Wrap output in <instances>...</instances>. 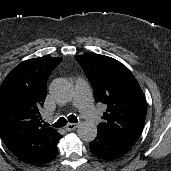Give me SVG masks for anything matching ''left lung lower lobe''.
<instances>
[{
  "instance_id": "obj_1",
  "label": "left lung lower lobe",
  "mask_w": 171,
  "mask_h": 171,
  "mask_svg": "<svg viewBox=\"0 0 171 171\" xmlns=\"http://www.w3.org/2000/svg\"><path fill=\"white\" fill-rule=\"evenodd\" d=\"M131 148V146L100 131H98L97 137L90 143L92 154L107 161L122 157Z\"/></svg>"
}]
</instances>
